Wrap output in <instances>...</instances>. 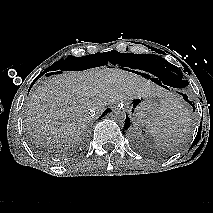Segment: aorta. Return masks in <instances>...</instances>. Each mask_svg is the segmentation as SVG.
<instances>
[{
  "label": "aorta",
  "instance_id": "obj_1",
  "mask_svg": "<svg viewBox=\"0 0 213 213\" xmlns=\"http://www.w3.org/2000/svg\"><path fill=\"white\" fill-rule=\"evenodd\" d=\"M111 119L119 124H124L126 120V113L120 108L114 109L111 114Z\"/></svg>",
  "mask_w": 213,
  "mask_h": 213
}]
</instances>
